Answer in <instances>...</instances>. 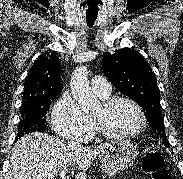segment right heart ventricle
<instances>
[{"label":"right heart ventricle","mask_w":183,"mask_h":179,"mask_svg":"<svg viewBox=\"0 0 183 179\" xmlns=\"http://www.w3.org/2000/svg\"><path fill=\"white\" fill-rule=\"evenodd\" d=\"M102 99H107L109 98L110 95H107V96H102V95H99Z\"/></svg>","instance_id":"e07e8e85"}]
</instances>
